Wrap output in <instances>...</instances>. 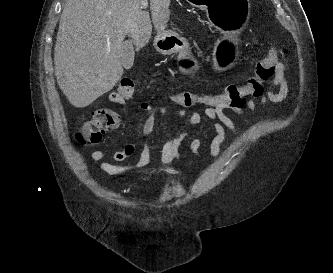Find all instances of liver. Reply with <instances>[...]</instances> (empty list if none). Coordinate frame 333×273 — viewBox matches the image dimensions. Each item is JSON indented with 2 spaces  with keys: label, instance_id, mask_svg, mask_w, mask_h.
Returning a JSON list of instances; mask_svg holds the SVG:
<instances>
[{
  "label": "liver",
  "instance_id": "liver-1",
  "mask_svg": "<svg viewBox=\"0 0 333 273\" xmlns=\"http://www.w3.org/2000/svg\"><path fill=\"white\" fill-rule=\"evenodd\" d=\"M144 0H68L60 17L54 48L55 76L69 102L83 108L110 91L123 75L122 42L138 48L150 37ZM170 0H150L152 23L161 33L170 17Z\"/></svg>",
  "mask_w": 333,
  "mask_h": 273
}]
</instances>
